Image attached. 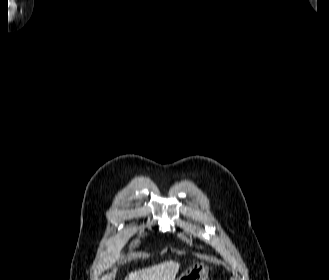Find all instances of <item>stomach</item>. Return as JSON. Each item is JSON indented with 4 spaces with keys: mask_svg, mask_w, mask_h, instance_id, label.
Here are the masks:
<instances>
[{
    "mask_svg": "<svg viewBox=\"0 0 329 280\" xmlns=\"http://www.w3.org/2000/svg\"><path fill=\"white\" fill-rule=\"evenodd\" d=\"M208 267L202 263L193 264L177 280H207Z\"/></svg>",
    "mask_w": 329,
    "mask_h": 280,
    "instance_id": "stomach-1",
    "label": "stomach"
}]
</instances>
